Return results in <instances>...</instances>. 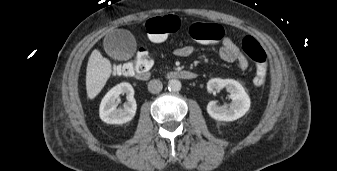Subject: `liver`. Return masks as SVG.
Masks as SVG:
<instances>
[{
    "instance_id": "1",
    "label": "liver",
    "mask_w": 337,
    "mask_h": 171,
    "mask_svg": "<svg viewBox=\"0 0 337 171\" xmlns=\"http://www.w3.org/2000/svg\"><path fill=\"white\" fill-rule=\"evenodd\" d=\"M111 73V62L103 57L99 50H93L88 60L86 72V90L90 99H94L100 93Z\"/></svg>"
}]
</instances>
